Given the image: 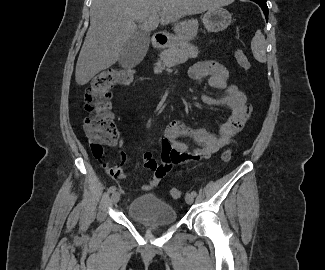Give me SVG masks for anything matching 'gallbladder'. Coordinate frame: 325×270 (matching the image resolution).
<instances>
[{
	"label": "gallbladder",
	"mask_w": 325,
	"mask_h": 270,
	"mask_svg": "<svg viewBox=\"0 0 325 270\" xmlns=\"http://www.w3.org/2000/svg\"><path fill=\"white\" fill-rule=\"evenodd\" d=\"M150 34L145 31L135 32L124 44L119 57V64L128 68L139 64L147 53Z\"/></svg>",
	"instance_id": "gallbladder-1"
}]
</instances>
